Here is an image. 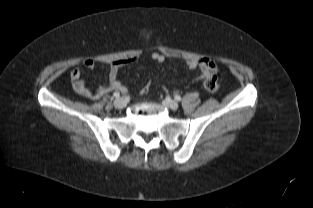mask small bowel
Instances as JSON below:
<instances>
[{
	"mask_svg": "<svg viewBox=\"0 0 313 208\" xmlns=\"http://www.w3.org/2000/svg\"><path fill=\"white\" fill-rule=\"evenodd\" d=\"M135 59V57H128L125 59L113 61L110 65L109 70V82L105 85L100 86L95 91H93L86 85L85 81L82 78V70L80 68H75L70 74L72 88L74 92L78 95L87 97L92 100H97L112 90L127 93V88L118 80L117 77L120 69L123 66L133 62ZM151 59L158 63H162L165 61V56L162 53L153 52L151 54ZM83 66L86 69H92L95 66V61L91 58H87L83 61ZM186 66L189 70L199 69L201 72L200 79H204L212 72H216L215 62L206 57L200 59H188L186 61Z\"/></svg>",
	"mask_w": 313,
	"mask_h": 208,
	"instance_id": "c3829d8e",
	"label": "small bowel"
}]
</instances>
